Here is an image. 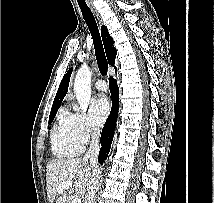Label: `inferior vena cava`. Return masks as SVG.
Returning a JSON list of instances; mask_svg holds the SVG:
<instances>
[{"mask_svg":"<svg viewBox=\"0 0 214 203\" xmlns=\"http://www.w3.org/2000/svg\"><path fill=\"white\" fill-rule=\"evenodd\" d=\"M99 134L100 130L97 127L91 128V143L90 147L87 151V153L84 156L85 160H90V164L93 167V172H92V184L86 194L85 197V203H94V197H95V190L98 186L99 182V174H100V169L98 168V154H99Z\"/></svg>","mask_w":214,"mask_h":203,"instance_id":"inferior-vena-cava-1","label":"inferior vena cava"}]
</instances>
